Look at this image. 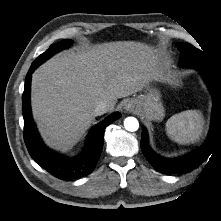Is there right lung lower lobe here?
I'll return each mask as SVG.
<instances>
[{
    "mask_svg": "<svg viewBox=\"0 0 221 221\" xmlns=\"http://www.w3.org/2000/svg\"><path fill=\"white\" fill-rule=\"evenodd\" d=\"M39 64L32 63L25 81L22 96V112L24 118V140L31 157L46 171L59 179H77L90 174L103 149V134L105 128L121 117L119 112L112 114L106 120L95 126L89 133L86 148L81 155L67 158L57 154L42 143L38 135L30 110V84L33 71Z\"/></svg>",
    "mask_w": 221,
    "mask_h": 221,
    "instance_id": "98d812e1",
    "label": "right lung lower lobe"
}]
</instances>
